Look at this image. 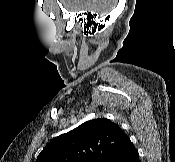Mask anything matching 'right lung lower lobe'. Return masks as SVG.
Instances as JSON below:
<instances>
[{
  "instance_id": "1",
  "label": "right lung lower lobe",
  "mask_w": 175,
  "mask_h": 162,
  "mask_svg": "<svg viewBox=\"0 0 175 162\" xmlns=\"http://www.w3.org/2000/svg\"><path fill=\"white\" fill-rule=\"evenodd\" d=\"M112 162H140L139 154L135 147H132L129 151L117 156Z\"/></svg>"
}]
</instances>
